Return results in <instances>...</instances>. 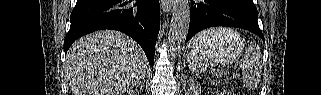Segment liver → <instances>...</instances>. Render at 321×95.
I'll return each instance as SVG.
<instances>
[{"label": "liver", "instance_id": "1", "mask_svg": "<svg viewBox=\"0 0 321 95\" xmlns=\"http://www.w3.org/2000/svg\"><path fill=\"white\" fill-rule=\"evenodd\" d=\"M147 64L135 41L103 30L75 41L64 68L73 95H124L145 77Z\"/></svg>", "mask_w": 321, "mask_h": 95}]
</instances>
